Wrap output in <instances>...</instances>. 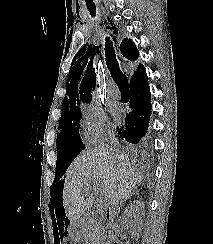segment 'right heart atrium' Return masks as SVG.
Here are the masks:
<instances>
[{"label": "right heart atrium", "mask_w": 213, "mask_h": 244, "mask_svg": "<svg viewBox=\"0 0 213 244\" xmlns=\"http://www.w3.org/2000/svg\"><path fill=\"white\" fill-rule=\"evenodd\" d=\"M81 133L88 143L99 142L111 132L104 109L97 102H89L82 110Z\"/></svg>", "instance_id": "right-heart-atrium-1"}]
</instances>
